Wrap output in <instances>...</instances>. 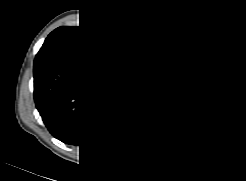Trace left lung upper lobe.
<instances>
[{
	"instance_id": "left-lung-upper-lobe-1",
	"label": "left lung upper lobe",
	"mask_w": 246,
	"mask_h": 181,
	"mask_svg": "<svg viewBox=\"0 0 246 181\" xmlns=\"http://www.w3.org/2000/svg\"><path fill=\"white\" fill-rule=\"evenodd\" d=\"M183 37L187 50V57L209 55L213 58L211 51L201 43V40L197 36L191 33H185Z\"/></svg>"
}]
</instances>
